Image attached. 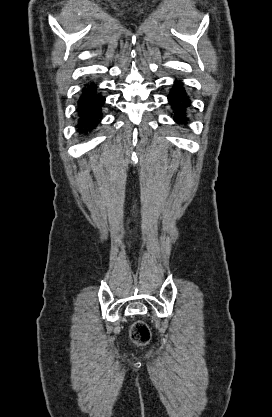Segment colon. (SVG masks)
I'll return each mask as SVG.
<instances>
[{
  "label": "colon",
  "mask_w": 272,
  "mask_h": 417,
  "mask_svg": "<svg viewBox=\"0 0 272 417\" xmlns=\"http://www.w3.org/2000/svg\"><path fill=\"white\" fill-rule=\"evenodd\" d=\"M130 336L137 344L145 345L150 341L151 332L144 322L136 321L131 327Z\"/></svg>",
  "instance_id": "obj_1"
}]
</instances>
